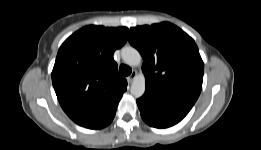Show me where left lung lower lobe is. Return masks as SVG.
<instances>
[{"instance_id": "left-lung-lower-lobe-1", "label": "left lung lower lobe", "mask_w": 261, "mask_h": 150, "mask_svg": "<svg viewBox=\"0 0 261 150\" xmlns=\"http://www.w3.org/2000/svg\"><path fill=\"white\" fill-rule=\"evenodd\" d=\"M142 119L155 128H167L180 122L193 105L181 100L145 93L137 100Z\"/></svg>"}]
</instances>
